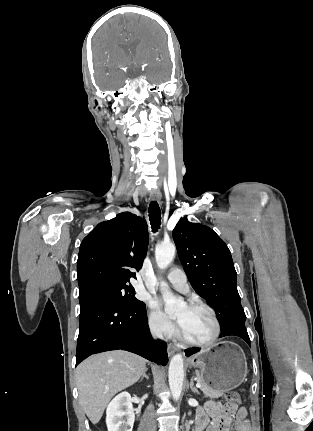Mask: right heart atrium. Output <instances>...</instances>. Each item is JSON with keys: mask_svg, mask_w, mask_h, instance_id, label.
<instances>
[{"mask_svg": "<svg viewBox=\"0 0 313 431\" xmlns=\"http://www.w3.org/2000/svg\"><path fill=\"white\" fill-rule=\"evenodd\" d=\"M148 325L151 331L159 336H171L174 327L168 318L155 307H151L148 313Z\"/></svg>", "mask_w": 313, "mask_h": 431, "instance_id": "d8ad5b80", "label": "right heart atrium"}]
</instances>
